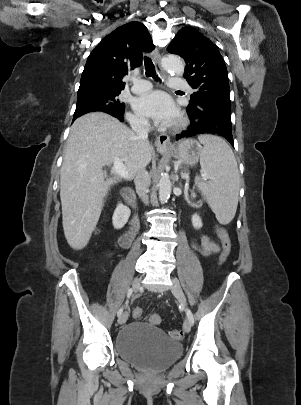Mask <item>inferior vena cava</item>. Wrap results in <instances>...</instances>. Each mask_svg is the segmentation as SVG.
Returning <instances> with one entry per match:
<instances>
[{"label":"inferior vena cava","mask_w":301,"mask_h":405,"mask_svg":"<svg viewBox=\"0 0 301 405\" xmlns=\"http://www.w3.org/2000/svg\"><path fill=\"white\" fill-rule=\"evenodd\" d=\"M131 126L139 139L147 141L150 124L146 119H135L132 121ZM134 182L136 185L137 194L142 199V201L147 204V193L151 183V179L149 173L145 168H141L137 171Z\"/></svg>","instance_id":"1"}]
</instances>
